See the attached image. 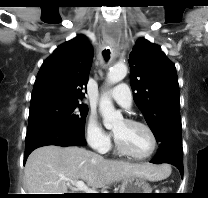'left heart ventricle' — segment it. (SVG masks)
I'll return each instance as SVG.
<instances>
[{"mask_svg":"<svg viewBox=\"0 0 208 198\" xmlns=\"http://www.w3.org/2000/svg\"><path fill=\"white\" fill-rule=\"evenodd\" d=\"M113 132L115 137L136 155H145L151 150V137L140 126L128 124L122 120L114 126Z\"/></svg>","mask_w":208,"mask_h":198,"instance_id":"obj_1","label":"left heart ventricle"}]
</instances>
